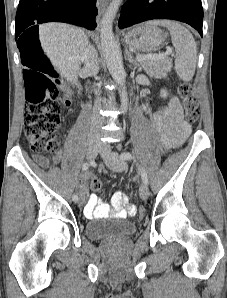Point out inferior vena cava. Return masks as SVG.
Returning a JSON list of instances; mask_svg holds the SVG:
<instances>
[{"instance_id": "obj_1", "label": "inferior vena cava", "mask_w": 227, "mask_h": 298, "mask_svg": "<svg viewBox=\"0 0 227 298\" xmlns=\"http://www.w3.org/2000/svg\"><path fill=\"white\" fill-rule=\"evenodd\" d=\"M82 60L84 62V71L87 74L94 76L98 73L99 71L98 53L93 46L88 45L86 47ZM95 94L97 97L93 108L91 136L93 139L98 140L100 138V127L102 126L104 120L103 118L100 117L98 113L101 106V98L99 97L100 93L99 91L96 90Z\"/></svg>"}]
</instances>
